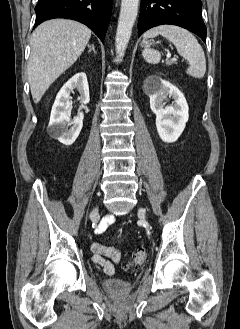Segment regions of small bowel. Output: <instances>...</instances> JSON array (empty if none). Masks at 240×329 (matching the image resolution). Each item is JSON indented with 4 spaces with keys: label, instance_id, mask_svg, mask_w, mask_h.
I'll return each mask as SVG.
<instances>
[{
    "label": "small bowel",
    "instance_id": "obj_1",
    "mask_svg": "<svg viewBox=\"0 0 240 329\" xmlns=\"http://www.w3.org/2000/svg\"><path fill=\"white\" fill-rule=\"evenodd\" d=\"M113 221V215L106 216L100 223L99 230L104 231ZM91 251L93 253L92 261L101 267L105 274L113 275L115 273V265L118 264L121 259L119 250L112 246L93 243L91 245Z\"/></svg>",
    "mask_w": 240,
    "mask_h": 329
}]
</instances>
